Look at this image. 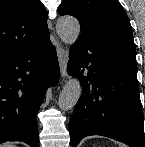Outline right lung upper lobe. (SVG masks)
<instances>
[{
	"instance_id": "right-lung-upper-lobe-1",
	"label": "right lung upper lobe",
	"mask_w": 145,
	"mask_h": 147,
	"mask_svg": "<svg viewBox=\"0 0 145 147\" xmlns=\"http://www.w3.org/2000/svg\"><path fill=\"white\" fill-rule=\"evenodd\" d=\"M46 17L39 0H0V60L47 38Z\"/></svg>"
}]
</instances>
